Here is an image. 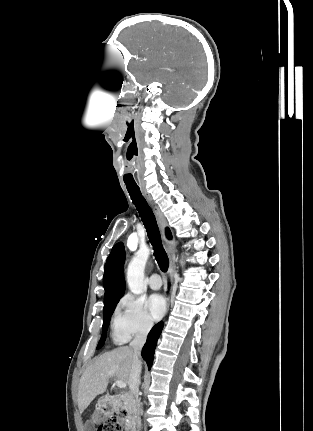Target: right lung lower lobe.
Instances as JSON below:
<instances>
[{
	"mask_svg": "<svg viewBox=\"0 0 313 431\" xmlns=\"http://www.w3.org/2000/svg\"><path fill=\"white\" fill-rule=\"evenodd\" d=\"M163 323L156 324L150 331L147 341L142 349V357L146 361L148 368L150 369L153 362L154 352L157 345L158 338L162 332Z\"/></svg>",
	"mask_w": 313,
	"mask_h": 431,
	"instance_id": "right-lung-lower-lobe-1",
	"label": "right lung lower lobe"
}]
</instances>
